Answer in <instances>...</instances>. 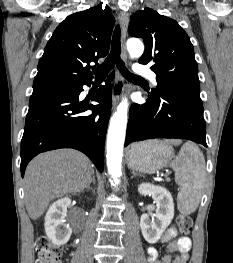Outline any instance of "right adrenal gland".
Instances as JSON below:
<instances>
[{
  "label": "right adrenal gland",
  "mask_w": 233,
  "mask_h": 263,
  "mask_svg": "<svg viewBox=\"0 0 233 263\" xmlns=\"http://www.w3.org/2000/svg\"><path fill=\"white\" fill-rule=\"evenodd\" d=\"M92 183L95 185V175L92 176ZM87 190H90V185L86 188Z\"/></svg>",
  "instance_id": "1"
}]
</instances>
